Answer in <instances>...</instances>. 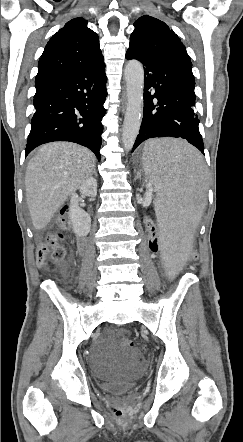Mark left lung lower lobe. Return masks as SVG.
Instances as JSON below:
<instances>
[{
  "instance_id": "left-lung-lower-lobe-1",
  "label": "left lung lower lobe",
  "mask_w": 243,
  "mask_h": 442,
  "mask_svg": "<svg viewBox=\"0 0 243 442\" xmlns=\"http://www.w3.org/2000/svg\"><path fill=\"white\" fill-rule=\"evenodd\" d=\"M126 58L144 65V110L132 151L154 137L186 139L204 154L199 119L194 112L195 81L192 66L143 52L129 45Z\"/></svg>"
}]
</instances>
